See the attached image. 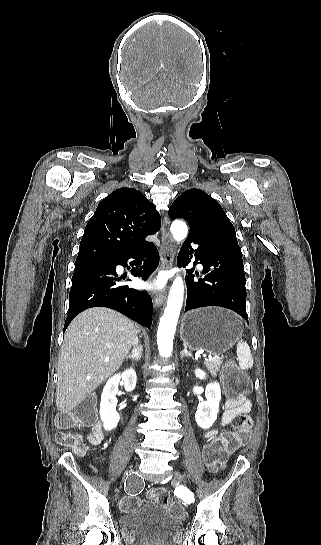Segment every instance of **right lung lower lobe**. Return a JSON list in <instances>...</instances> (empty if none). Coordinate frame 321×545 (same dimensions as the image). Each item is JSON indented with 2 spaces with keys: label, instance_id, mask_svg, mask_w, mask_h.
<instances>
[{
  "label": "right lung lower lobe",
  "instance_id": "obj_1",
  "mask_svg": "<svg viewBox=\"0 0 321 545\" xmlns=\"http://www.w3.org/2000/svg\"><path fill=\"white\" fill-rule=\"evenodd\" d=\"M146 258L139 269H132L133 276L147 280L159 263V253L151 242L134 249L125 256L113 260H99L75 265L72 287L69 293V313L64 330L75 316L87 308L108 307L119 311L132 320L150 328L152 324V300L144 291L121 285L116 266L137 265Z\"/></svg>",
  "mask_w": 321,
  "mask_h": 545
}]
</instances>
